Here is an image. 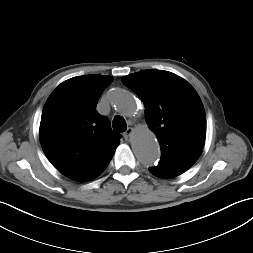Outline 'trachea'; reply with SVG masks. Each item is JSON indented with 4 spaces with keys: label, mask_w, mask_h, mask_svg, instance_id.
<instances>
[{
    "label": "trachea",
    "mask_w": 253,
    "mask_h": 253,
    "mask_svg": "<svg viewBox=\"0 0 253 253\" xmlns=\"http://www.w3.org/2000/svg\"><path fill=\"white\" fill-rule=\"evenodd\" d=\"M113 129L116 132H124L127 129L126 121L121 116H116L112 123Z\"/></svg>",
    "instance_id": "trachea-1"
}]
</instances>
